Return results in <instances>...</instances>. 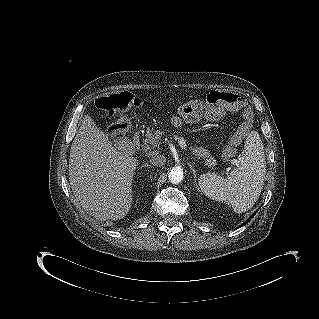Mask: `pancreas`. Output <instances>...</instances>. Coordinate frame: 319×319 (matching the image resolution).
Returning <instances> with one entry per match:
<instances>
[{
  "label": "pancreas",
  "mask_w": 319,
  "mask_h": 319,
  "mask_svg": "<svg viewBox=\"0 0 319 319\" xmlns=\"http://www.w3.org/2000/svg\"><path fill=\"white\" fill-rule=\"evenodd\" d=\"M157 145H158V141H157L155 134L152 132V130H150L148 128L146 131V138L142 144V148L144 150L148 151V150L155 148ZM204 161H205V164L209 167H214L216 165V160L209 153L205 154Z\"/></svg>",
  "instance_id": "1"
}]
</instances>
